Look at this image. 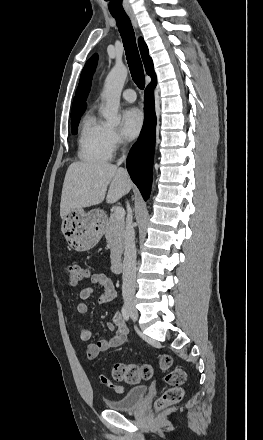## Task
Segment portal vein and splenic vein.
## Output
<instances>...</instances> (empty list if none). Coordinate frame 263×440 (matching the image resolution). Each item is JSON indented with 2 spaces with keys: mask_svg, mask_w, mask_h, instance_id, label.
I'll return each mask as SVG.
<instances>
[{
  "mask_svg": "<svg viewBox=\"0 0 263 440\" xmlns=\"http://www.w3.org/2000/svg\"><path fill=\"white\" fill-rule=\"evenodd\" d=\"M114 215L117 219H122L125 216V210L122 207H117L115 209Z\"/></svg>",
  "mask_w": 263,
  "mask_h": 440,
  "instance_id": "portal-vein-and-splenic-vein-1",
  "label": "portal vein and splenic vein"
}]
</instances>
